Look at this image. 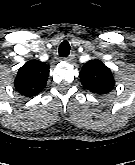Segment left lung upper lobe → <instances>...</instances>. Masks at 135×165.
I'll list each match as a JSON object with an SVG mask.
<instances>
[{"label":"left lung upper lobe","mask_w":135,"mask_h":165,"mask_svg":"<svg viewBox=\"0 0 135 165\" xmlns=\"http://www.w3.org/2000/svg\"><path fill=\"white\" fill-rule=\"evenodd\" d=\"M79 77L82 85L96 94L108 93L115 85L111 70L99 60L85 63Z\"/></svg>","instance_id":"obj_1"}]
</instances>
